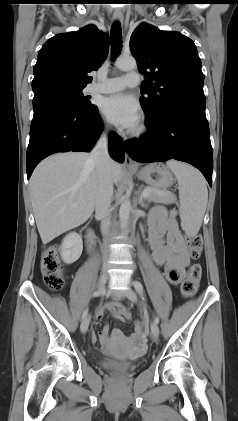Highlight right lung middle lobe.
Wrapping results in <instances>:
<instances>
[{
  "mask_svg": "<svg viewBox=\"0 0 238 421\" xmlns=\"http://www.w3.org/2000/svg\"><path fill=\"white\" fill-rule=\"evenodd\" d=\"M32 88L34 91V97L43 93H53L68 99L85 112H92L97 109L96 105L90 103V97L83 95L82 90L85 87L58 82H49L32 86Z\"/></svg>",
  "mask_w": 238,
  "mask_h": 421,
  "instance_id": "obj_1",
  "label": "right lung middle lobe"
}]
</instances>
